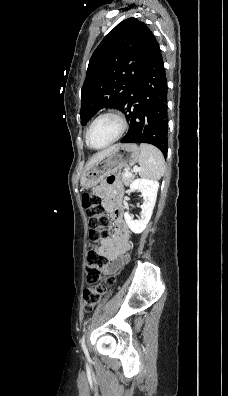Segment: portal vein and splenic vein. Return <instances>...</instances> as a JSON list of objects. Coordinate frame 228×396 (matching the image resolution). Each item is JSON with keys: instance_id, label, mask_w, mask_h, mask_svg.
<instances>
[{"instance_id": "portal-vein-and-splenic-vein-1", "label": "portal vein and splenic vein", "mask_w": 228, "mask_h": 396, "mask_svg": "<svg viewBox=\"0 0 228 396\" xmlns=\"http://www.w3.org/2000/svg\"><path fill=\"white\" fill-rule=\"evenodd\" d=\"M134 172L138 171V167H134L133 169ZM126 175L129 176L131 173L129 171H126Z\"/></svg>"}]
</instances>
